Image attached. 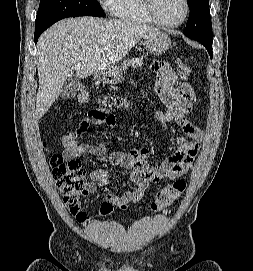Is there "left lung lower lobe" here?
<instances>
[{
    "label": "left lung lower lobe",
    "mask_w": 253,
    "mask_h": 271,
    "mask_svg": "<svg viewBox=\"0 0 253 271\" xmlns=\"http://www.w3.org/2000/svg\"><path fill=\"white\" fill-rule=\"evenodd\" d=\"M201 43L205 46V48L207 49L210 57L212 58L213 57L212 42H210V43L201 42Z\"/></svg>",
    "instance_id": "1"
}]
</instances>
